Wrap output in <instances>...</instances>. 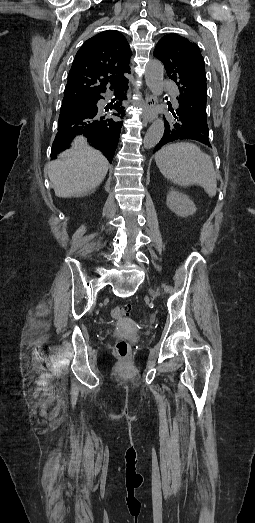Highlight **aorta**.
Segmentation results:
<instances>
[{
  "instance_id": "762f6f07",
  "label": "aorta",
  "mask_w": 255,
  "mask_h": 523,
  "mask_svg": "<svg viewBox=\"0 0 255 523\" xmlns=\"http://www.w3.org/2000/svg\"><path fill=\"white\" fill-rule=\"evenodd\" d=\"M164 66L159 60H151L146 65L145 81L150 91L157 97L161 96L164 89ZM164 121L157 118L148 129L143 146L145 149H151L156 146L164 134Z\"/></svg>"
}]
</instances>
